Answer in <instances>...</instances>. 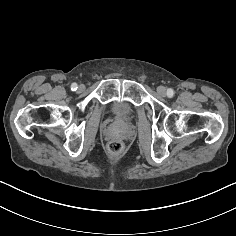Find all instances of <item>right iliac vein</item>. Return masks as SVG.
I'll list each match as a JSON object with an SVG mask.
<instances>
[{
    "label": "right iliac vein",
    "instance_id": "1",
    "mask_svg": "<svg viewBox=\"0 0 236 236\" xmlns=\"http://www.w3.org/2000/svg\"><path fill=\"white\" fill-rule=\"evenodd\" d=\"M79 89L81 90V89H82V86H80Z\"/></svg>",
    "mask_w": 236,
    "mask_h": 236
}]
</instances>
